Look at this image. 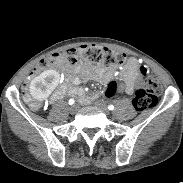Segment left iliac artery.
I'll list each match as a JSON object with an SVG mask.
<instances>
[{"mask_svg":"<svg viewBox=\"0 0 183 183\" xmlns=\"http://www.w3.org/2000/svg\"><path fill=\"white\" fill-rule=\"evenodd\" d=\"M108 109H109V110H113V109H114V106H113V105H109V106H108Z\"/></svg>","mask_w":183,"mask_h":183,"instance_id":"left-iliac-artery-1","label":"left iliac artery"}]
</instances>
